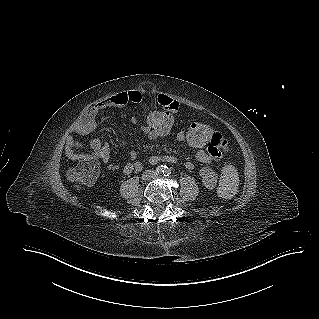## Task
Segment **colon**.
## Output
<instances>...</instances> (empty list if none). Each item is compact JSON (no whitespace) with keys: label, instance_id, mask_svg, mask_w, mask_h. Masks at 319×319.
Segmentation results:
<instances>
[{"label":"colon","instance_id":"5ec220e1","mask_svg":"<svg viewBox=\"0 0 319 319\" xmlns=\"http://www.w3.org/2000/svg\"><path fill=\"white\" fill-rule=\"evenodd\" d=\"M177 126L176 116L161 110L151 113L145 119L143 129L149 138L159 140L172 135ZM213 130L207 121H194L186 129V141L194 149L209 150L212 148L209 138ZM77 159L78 164L67 174L68 180L76 187L92 185L99 175L98 159L86 153L77 154ZM238 186L239 180L235 168L231 164H226L218 188L219 195L223 198H230L237 191Z\"/></svg>","mask_w":319,"mask_h":319}]
</instances>
